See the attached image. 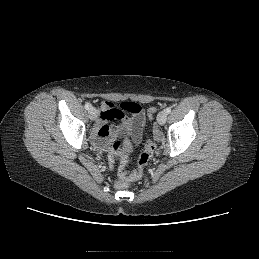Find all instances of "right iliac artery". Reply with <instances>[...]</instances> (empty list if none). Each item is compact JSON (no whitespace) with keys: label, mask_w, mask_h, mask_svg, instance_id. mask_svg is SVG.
<instances>
[{"label":"right iliac artery","mask_w":259,"mask_h":259,"mask_svg":"<svg viewBox=\"0 0 259 259\" xmlns=\"http://www.w3.org/2000/svg\"><path fill=\"white\" fill-rule=\"evenodd\" d=\"M90 107H91V105H90L89 103H86V104H85V109H86V110H89Z\"/></svg>","instance_id":"obj_1"}]
</instances>
